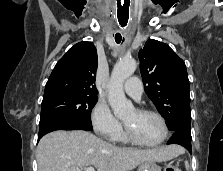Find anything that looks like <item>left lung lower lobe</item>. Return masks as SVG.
Wrapping results in <instances>:
<instances>
[{
    "label": "left lung lower lobe",
    "instance_id": "obj_1",
    "mask_svg": "<svg viewBox=\"0 0 223 171\" xmlns=\"http://www.w3.org/2000/svg\"><path fill=\"white\" fill-rule=\"evenodd\" d=\"M191 135L182 131H175L167 144H179L192 153Z\"/></svg>",
    "mask_w": 223,
    "mask_h": 171
}]
</instances>
